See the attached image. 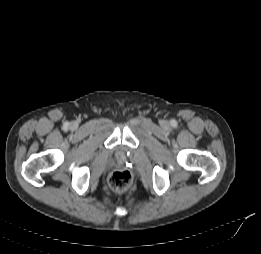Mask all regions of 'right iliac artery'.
<instances>
[{
    "instance_id": "82829eb1",
    "label": "right iliac artery",
    "mask_w": 261,
    "mask_h": 254,
    "mask_svg": "<svg viewBox=\"0 0 261 254\" xmlns=\"http://www.w3.org/2000/svg\"><path fill=\"white\" fill-rule=\"evenodd\" d=\"M68 126V123H65V127H67Z\"/></svg>"
}]
</instances>
